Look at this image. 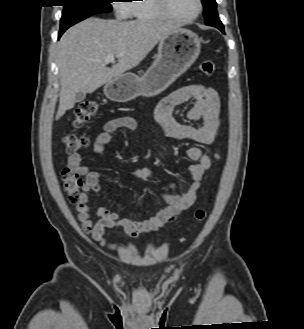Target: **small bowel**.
<instances>
[{"mask_svg":"<svg viewBox=\"0 0 304 329\" xmlns=\"http://www.w3.org/2000/svg\"><path fill=\"white\" fill-rule=\"evenodd\" d=\"M189 101H193V105L187 110L186 118L201 120L202 124L199 127L180 123L173 117L174 108ZM219 111V96L213 88L201 84H185L173 90L158 103L155 118L168 137L208 145L219 136ZM135 127L134 120L129 117L109 120L97 137L94 146L95 152L100 155L104 153L105 147L112 141L114 132L120 129L133 130ZM187 156L195 161L187 167L189 181L182 192H175L177 189L175 184L169 185L170 192L163 193L161 196L165 203L162 209L154 212L148 219L135 221L99 206L96 209L99 220L94 223L90 216L91 210L88 201L90 193L98 195L102 191L100 173L88 164H84L79 154H70L69 168L85 178L81 198L76 203L77 219L83 230L90 234L96 242L104 244V234L107 228L120 227L129 237L137 238L141 234L156 231L176 219L196 200L204 173L219 158V153L210 156L198 147H190L187 149ZM131 175L137 180L146 182L150 179L152 171L149 167H141L133 170ZM123 245L122 241L106 244L107 248L113 251L120 250Z\"/></svg>","mask_w":304,"mask_h":329,"instance_id":"obj_1","label":"small bowel"}]
</instances>
